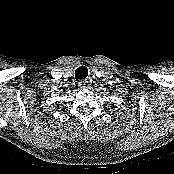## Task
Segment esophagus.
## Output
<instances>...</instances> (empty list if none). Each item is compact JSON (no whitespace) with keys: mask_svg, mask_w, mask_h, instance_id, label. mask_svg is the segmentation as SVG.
<instances>
[{"mask_svg":"<svg viewBox=\"0 0 174 174\" xmlns=\"http://www.w3.org/2000/svg\"><path fill=\"white\" fill-rule=\"evenodd\" d=\"M78 86H79L80 89H83V88L87 87V81H85V80H80V81L78 82Z\"/></svg>","mask_w":174,"mask_h":174,"instance_id":"esophagus-1","label":"esophagus"}]
</instances>
